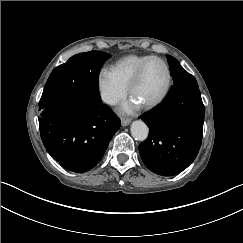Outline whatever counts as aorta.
<instances>
[{"label": "aorta", "instance_id": "1", "mask_svg": "<svg viewBox=\"0 0 243 243\" xmlns=\"http://www.w3.org/2000/svg\"><path fill=\"white\" fill-rule=\"evenodd\" d=\"M131 134L135 140L143 142L148 138L149 128L144 122L135 121L131 126Z\"/></svg>", "mask_w": 243, "mask_h": 243}]
</instances>
